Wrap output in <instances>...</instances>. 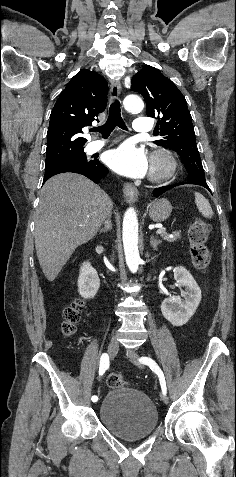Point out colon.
I'll return each mask as SVG.
<instances>
[{
	"mask_svg": "<svg viewBox=\"0 0 236 477\" xmlns=\"http://www.w3.org/2000/svg\"><path fill=\"white\" fill-rule=\"evenodd\" d=\"M210 226L203 220H196L188 230L189 251L193 265L199 270H205L210 263V250L208 248V236ZM83 301L75 299L63 310L62 332L70 337L74 334L76 325L80 321ZM106 383L111 388L125 386V381L118 373H111L106 379Z\"/></svg>",
	"mask_w": 236,
	"mask_h": 477,
	"instance_id": "1",
	"label": "colon"
}]
</instances>
